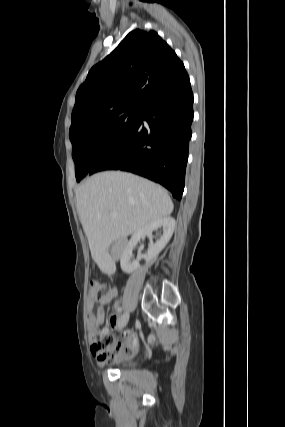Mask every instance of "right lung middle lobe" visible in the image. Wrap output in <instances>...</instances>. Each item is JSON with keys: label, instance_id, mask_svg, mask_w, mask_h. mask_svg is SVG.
Segmentation results:
<instances>
[{"label": "right lung middle lobe", "instance_id": "dd1d6c3e", "mask_svg": "<svg viewBox=\"0 0 285 427\" xmlns=\"http://www.w3.org/2000/svg\"><path fill=\"white\" fill-rule=\"evenodd\" d=\"M140 112L141 105H129L84 124L69 134L77 181L125 139L136 124Z\"/></svg>", "mask_w": 285, "mask_h": 427}]
</instances>
